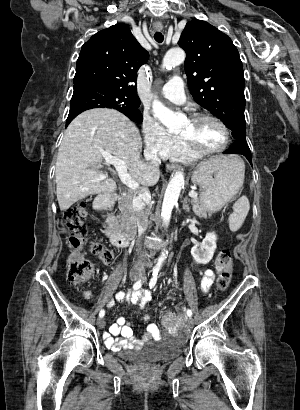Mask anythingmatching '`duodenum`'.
<instances>
[{
  "label": "duodenum",
  "instance_id": "1",
  "mask_svg": "<svg viewBox=\"0 0 300 410\" xmlns=\"http://www.w3.org/2000/svg\"><path fill=\"white\" fill-rule=\"evenodd\" d=\"M111 197L100 198L96 202V210L99 215L104 218V234L110 241V243L118 248L129 247L132 242V238L122 234L115 228V219L113 215L114 208L109 204Z\"/></svg>",
  "mask_w": 300,
  "mask_h": 410
}]
</instances>
